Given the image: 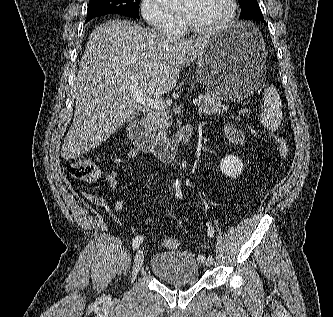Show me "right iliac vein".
<instances>
[{"label": "right iliac vein", "instance_id": "63e3f726", "mask_svg": "<svg viewBox=\"0 0 333 317\" xmlns=\"http://www.w3.org/2000/svg\"><path fill=\"white\" fill-rule=\"evenodd\" d=\"M143 261H144V254L142 250H138L134 257L132 279H131L132 282L135 280L139 270L141 269Z\"/></svg>", "mask_w": 333, "mask_h": 317}]
</instances>
